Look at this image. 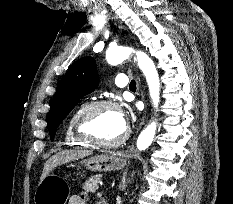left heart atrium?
I'll return each mask as SVG.
<instances>
[{
    "label": "left heart atrium",
    "instance_id": "left-heart-atrium-1",
    "mask_svg": "<svg viewBox=\"0 0 233 204\" xmlns=\"http://www.w3.org/2000/svg\"><path fill=\"white\" fill-rule=\"evenodd\" d=\"M120 118H121L122 125L124 126V128H126L127 127V118H126V116L120 113Z\"/></svg>",
    "mask_w": 233,
    "mask_h": 204
}]
</instances>
